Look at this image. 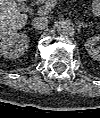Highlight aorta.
Instances as JSON below:
<instances>
[{
  "label": "aorta",
  "instance_id": "obj_1",
  "mask_svg": "<svg viewBox=\"0 0 100 118\" xmlns=\"http://www.w3.org/2000/svg\"><path fill=\"white\" fill-rule=\"evenodd\" d=\"M57 32L62 36H71L74 33V24L70 20L59 21Z\"/></svg>",
  "mask_w": 100,
  "mask_h": 118
}]
</instances>
